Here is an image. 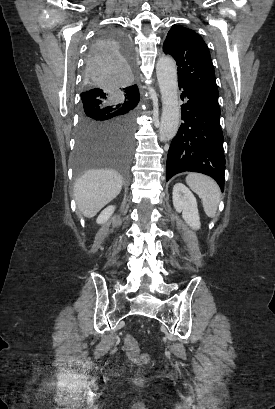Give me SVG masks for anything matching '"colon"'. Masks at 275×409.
<instances>
[{"label":"colon","instance_id":"1","mask_svg":"<svg viewBox=\"0 0 275 409\" xmlns=\"http://www.w3.org/2000/svg\"><path fill=\"white\" fill-rule=\"evenodd\" d=\"M124 348L127 358L138 365H145L150 362V356L140 350V347L132 336L127 335L124 339Z\"/></svg>","mask_w":275,"mask_h":409}]
</instances>
